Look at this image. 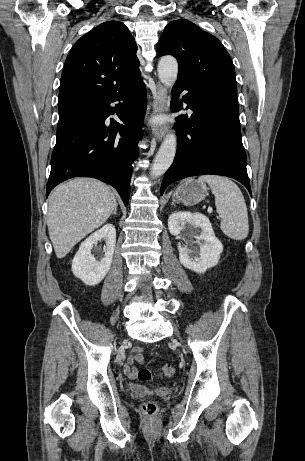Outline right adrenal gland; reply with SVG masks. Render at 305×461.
Listing matches in <instances>:
<instances>
[{"label": "right adrenal gland", "mask_w": 305, "mask_h": 461, "mask_svg": "<svg viewBox=\"0 0 305 461\" xmlns=\"http://www.w3.org/2000/svg\"><path fill=\"white\" fill-rule=\"evenodd\" d=\"M116 214H117V206L115 207V209H114L112 215H116Z\"/></svg>", "instance_id": "1"}]
</instances>
